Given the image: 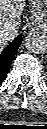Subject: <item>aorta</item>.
I'll return each instance as SVG.
<instances>
[{"label":"aorta","instance_id":"762f6f07","mask_svg":"<svg viewBox=\"0 0 47 129\" xmlns=\"http://www.w3.org/2000/svg\"><path fill=\"white\" fill-rule=\"evenodd\" d=\"M47 39L45 35L34 32L25 37V47L32 53H40L46 50Z\"/></svg>","mask_w":47,"mask_h":129}]
</instances>
